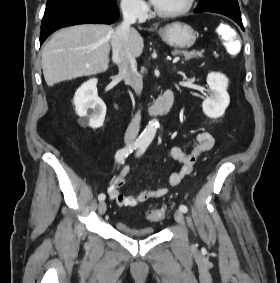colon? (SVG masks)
I'll return each mask as SVG.
<instances>
[{
  "label": "colon",
  "mask_w": 280,
  "mask_h": 283,
  "mask_svg": "<svg viewBox=\"0 0 280 283\" xmlns=\"http://www.w3.org/2000/svg\"><path fill=\"white\" fill-rule=\"evenodd\" d=\"M217 33L222 36L218 37V42H226L228 55H241L242 46H240L241 37H236V25H219L216 27ZM166 215L164 207L152 210L148 213L147 218L150 221H160Z\"/></svg>",
  "instance_id": "1"
}]
</instances>
